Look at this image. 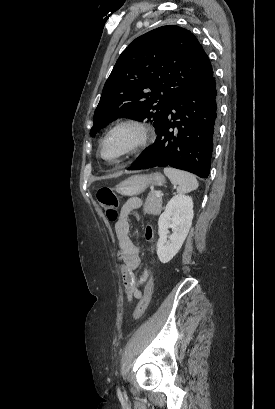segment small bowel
Here are the masks:
<instances>
[{
	"mask_svg": "<svg viewBox=\"0 0 275 409\" xmlns=\"http://www.w3.org/2000/svg\"><path fill=\"white\" fill-rule=\"evenodd\" d=\"M141 206V199L132 197L123 205L121 217L115 224V234L121 258V272L127 300L140 298L143 294L141 287L149 277V270L145 269L140 278L135 275V269L140 263L139 247L130 235L129 216Z\"/></svg>",
	"mask_w": 275,
	"mask_h": 409,
	"instance_id": "small-bowel-1",
	"label": "small bowel"
}]
</instances>
